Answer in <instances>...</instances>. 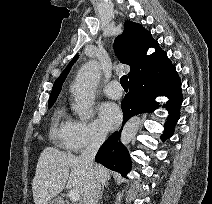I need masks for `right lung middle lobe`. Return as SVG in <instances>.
Instances as JSON below:
<instances>
[{"label": "right lung middle lobe", "mask_w": 212, "mask_h": 204, "mask_svg": "<svg viewBox=\"0 0 212 204\" xmlns=\"http://www.w3.org/2000/svg\"><path fill=\"white\" fill-rule=\"evenodd\" d=\"M54 102H49L48 103V108H50L53 105Z\"/></svg>", "instance_id": "1"}]
</instances>
